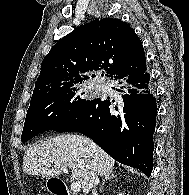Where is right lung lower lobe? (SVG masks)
Wrapping results in <instances>:
<instances>
[{"instance_id": "right-lung-lower-lobe-1", "label": "right lung lower lobe", "mask_w": 189, "mask_h": 195, "mask_svg": "<svg viewBox=\"0 0 189 195\" xmlns=\"http://www.w3.org/2000/svg\"><path fill=\"white\" fill-rule=\"evenodd\" d=\"M115 80L113 89L121 92L115 107L114 100L94 99L53 130L83 133L116 161L150 176L157 115L150 74L146 67L120 71Z\"/></svg>"}]
</instances>
